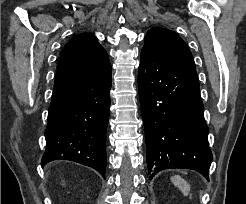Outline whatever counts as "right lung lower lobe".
Here are the masks:
<instances>
[{"label": "right lung lower lobe", "instance_id": "right-lung-lower-lobe-1", "mask_svg": "<svg viewBox=\"0 0 246 204\" xmlns=\"http://www.w3.org/2000/svg\"><path fill=\"white\" fill-rule=\"evenodd\" d=\"M111 83V65L57 71L42 167L53 160H71L105 177Z\"/></svg>", "mask_w": 246, "mask_h": 204}]
</instances>
